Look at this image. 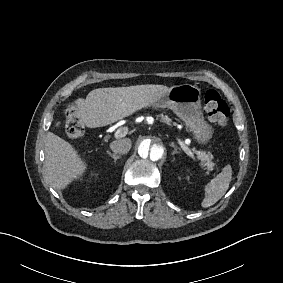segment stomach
<instances>
[{"label": "stomach", "mask_w": 283, "mask_h": 283, "mask_svg": "<svg viewBox=\"0 0 283 283\" xmlns=\"http://www.w3.org/2000/svg\"><path fill=\"white\" fill-rule=\"evenodd\" d=\"M152 106L171 109L185 122L198 143L206 144L212 138L213 128L203 118L198 87L190 84L173 86Z\"/></svg>", "instance_id": "stomach-1"}]
</instances>
